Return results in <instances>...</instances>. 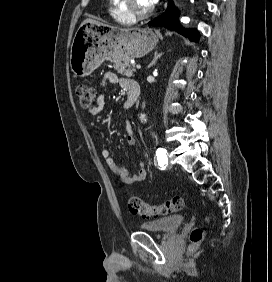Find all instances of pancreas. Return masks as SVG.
I'll list each match as a JSON object with an SVG mask.
<instances>
[{"instance_id":"cf45deb5","label":"pancreas","mask_w":272,"mask_h":282,"mask_svg":"<svg viewBox=\"0 0 272 282\" xmlns=\"http://www.w3.org/2000/svg\"><path fill=\"white\" fill-rule=\"evenodd\" d=\"M114 69H116L121 75L129 77L133 76V73L136 71L134 65H132L129 61L115 63Z\"/></svg>"}]
</instances>
